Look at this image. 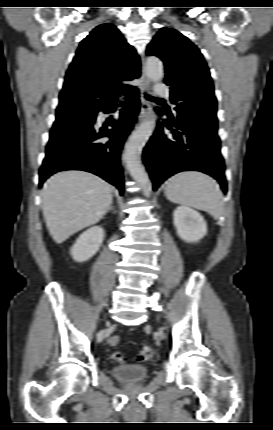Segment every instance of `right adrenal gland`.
Wrapping results in <instances>:
<instances>
[{"instance_id":"1","label":"right adrenal gland","mask_w":273,"mask_h":430,"mask_svg":"<svg viewBox=\"0 0 273 430\" xmlns=\"http://www.w3.org/2000/svg\"><path fill=\"white\" fill-rule=\"evenodd\" d=\"M109 210H114L113 202H112V204L109 206L108 211H109Z\"/></svg>"}]
</instances>
